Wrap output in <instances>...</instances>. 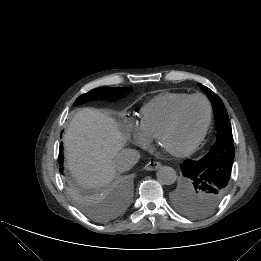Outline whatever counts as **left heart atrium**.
<instances>
[{
    "label": "left heart atrium",
    "instance_id": "39dd6f15",
    "mask_svg": "<svg viewBox=\"0 0 261 261\" xmlns=\"http://www.w3.org/2000/svg\"><path fill=\"white\" fill-rule=\"evenodd\" d=\"M163 150H165V151H170V150H168L167 148H165V147H163Z\"/></svg>",
    "mask_w": 261,
    "mask_h": 261
}]
</instances>
